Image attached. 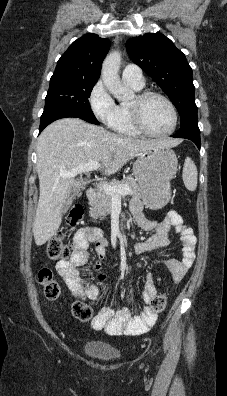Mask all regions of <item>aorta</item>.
<instances>
[{"mask_svg":"<svg viewBox=\"0 0 227 396\" xmlns=\"http://www.w3.org/2000/svg\"><path fill=\"white\" fill-rule=\"evenodd\" d=\"M121 63V53L114 51L104 60L102 65V80L107 90L118 100L128 99L132 92L124 87L120 81L119 68Z\"/></svg>","mask_w":227,"mask_h":396,"instance_id":"obj_1","label":"aorta"}]
</instances>
